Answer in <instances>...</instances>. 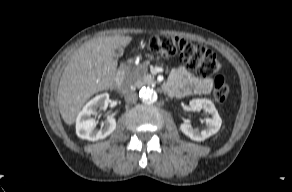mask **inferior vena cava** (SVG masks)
<instances>
[{"label": "inferior vena cava", "mask_w": 292, "mask_h": 192, "mask_svg": "<svg viewBox=\"0 0 292 192\" xmlns=\"http://www.w3.org/2000/svg\"><path fill=\"white\" fill-rule=\"evenodd\" d=\"M124 98L127 103H136L138 100V95L135 91L128 90L126 91Z\"/></svg>", "instance_id": "602c4592"}]
</instances>
